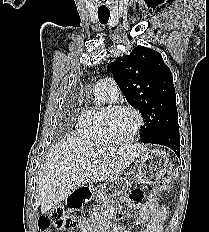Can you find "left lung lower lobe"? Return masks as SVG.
Instances as JSON below:
<instances>
[{
	"label": "left lung lower lobe",
	"mask_w": 209,
	"mask_h": 232,
	"mask_svg": "<svg viewBox=\"0 0 209 232\" xmlns=\"http://www.w3.org/2000/svg\"><path fill=\"white\" fill-rule=\"evenodd\" d=\"M151 143L169 147L180 157L179 126L168 127L160 131L155 138L151 140Z\"/></svg>",
	"instance_id": "obj_1"
}]
</instances>
